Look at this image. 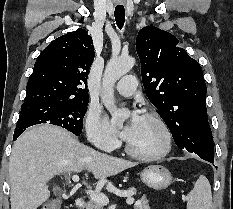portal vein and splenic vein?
Segmentation results:
<instances>
[{
  "label": "portal vein and splenic vein",
  "mask_w": 233,
  "mask_h": 209,
  "mask_svg": "<svg viewBox=\"0 0 233 209\" xmlns=\"http://www.w3.org/2000/svg\"><path fill=\"white\" fill-rule=\"evenodd\" d=\"M72 180L74 182H78L79 181V176L78 175H73ZM87 194L90 196V198L93 201H95L98 204L107 205L109 203V199L103 193L96 192V191H93V190H88ZM126 203L128 205H132L134 203V198L128 197L127 200H126Z\"/></svg>",
  "instance_id": "1"
}]
</instances>
